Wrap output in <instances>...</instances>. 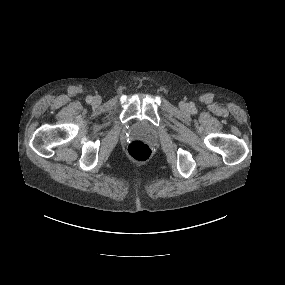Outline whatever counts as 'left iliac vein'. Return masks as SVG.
<instances>
[{
    "label": "left iliac vein",
    "instance_id": "obj_1",
    "mask_svg": "<svg viewBox=\"0 0 285 285\" xmlns=\"http://www.w3.org/2000/svg\"><path fill=\"white\" fill-rule=\"evenodd\" d=\"M180 108H181L182 110H186V109L188 108V105H187L186 103H182V104L180 105Z\"/></svg>",
    "mask_w": 285,
    "mask_h": 285
}]
</instances>
